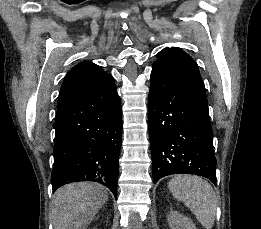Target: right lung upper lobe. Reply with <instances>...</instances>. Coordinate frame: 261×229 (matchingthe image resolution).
<instances>
[{"mask_svg":"<svg viewBox=\"0 0 261 229\" xmlns=\"http://www.w3.org/2000/svg\"><path fill=\"white\" fill-rule=\"evenodd\" d=\"M110 75L92 62H82L71 69L61 86L58 109Z\"/></svg>","mask_w":261,"mask_h":229,"instance_id":"obj_1","label":"right lung upper lobe"}]
</instances>
